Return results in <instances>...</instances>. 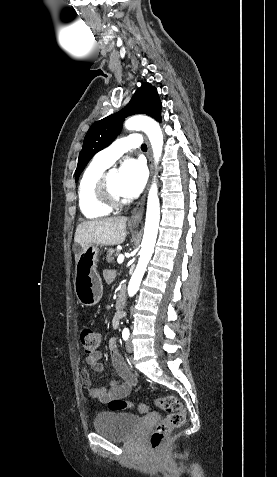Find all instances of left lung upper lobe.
<instances>
[{
  "instance_id": "1",
  "label": "left lung upper lobe",
  "mask_w": 277,
  "mask_h": 477,
  "mask_svg": "<svg viewBox=\"0 0 277 477\" xmlns=\"http://www.w3.org/2000/svg\"><path fill=\"white\" fill-rule=\"evenodd\" d=\"M161 106L156 88L149 83H143L126 107L117 113L96 121L84 138L75 171L76 181L89 160L97 152L110 145L119 135L126 117L134 114H146L160 122Z\"/></svg>"
}]
</instances>
